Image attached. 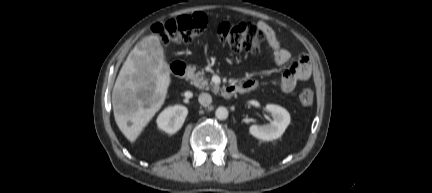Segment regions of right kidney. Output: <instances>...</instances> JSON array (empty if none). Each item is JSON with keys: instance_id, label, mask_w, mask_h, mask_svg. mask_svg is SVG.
Masks as SVG:
<instances>
[{"instance_id": "1", "label": "right kidney", "mask_w": 432, "mask_h": 193, "mask_svg": "<svg viewBox=\"0 0 432 193\" xmlns=\"http://www.w3.org/2000/svg\"><path fill=\"white\" fill-rule=\"evenodd\" d=\"M188 114L185 106L175 105L166 108L157 118V126L169 134L176 133L183 125Z\"/></svg>"}]
</instances>
